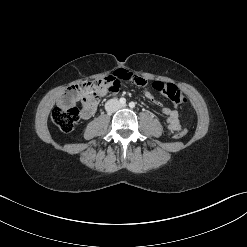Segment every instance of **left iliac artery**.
<instances>
[{
  "label": "left iliac artery",
  "mask_w": 247,
  "mask_h": 247,
  "mask_svg": "<svg viewBox=\"0 0 247 247\" xmlns=\"http://www.w3.org/2000/svg\"><path fill=\"white\" fill-rule=\"evenodd\" d=\"M129 107H130V108H134V107H135V103H134V102H130V103H129Z\"/></svg>",
  "instance_id": "1"
}]
</instances>
